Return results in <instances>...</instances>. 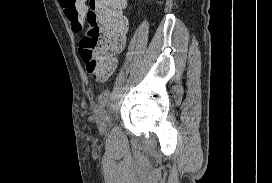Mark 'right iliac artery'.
I'll list each match as a JSON object with an SVG mask.
<instances>
[{"mask_svg": "<svg viewBox=\"0 0 272 183\" xmlns=\"http://www.w3.org/2000/svg\"><path fill=\"white\" fill-rule=\"evenodd\" d=\"M110 95V91L109 90H105L100 96H99V103H100V107H104L108 101Z\"/></svg>", "mask_w": 272, "mask_h": 183, "instance_id": "obj_1", "label": "right iliac artery"}]
</instances>
